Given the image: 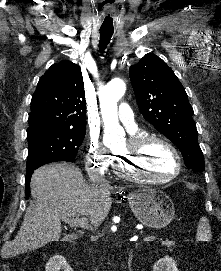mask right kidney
Instances as JSON below:
<instances>
[{
    "instance_id": "obj_1",
    "label": "right kidney",
    "mask_w": 221,
    "mask_h": 271,
    "mask_svg": "<svg viewBox=\"0 0 221 271\" xmlns=\"http://www.w3.org/2000/svg\"><path fill=\"white\" fill-rule=\"evenodd\" d=\"M45 271H73L63 255H52L45 265Z\"/></svg>"
}]
</instances>
